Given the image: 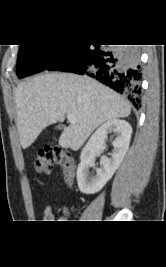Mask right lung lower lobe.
Wrapping results in <instances>:
<instances>
[{"label":"right lung lower lobe","instance_id":"right-lung-lower-lobe-1","mask_svg":"<svg viewBox=\"0 0 166 267\" xmlns=\"http://www.w3.org/2000/svg\"><path fill=\"white\" fill-rule=\"evenodd\" d=\"M46 70L88 75L132 103L139 102L142 72L134 47L109 50L101 45H68Z\"/></svg>","mask_w":166,"mask_h":267}]
</instances>
